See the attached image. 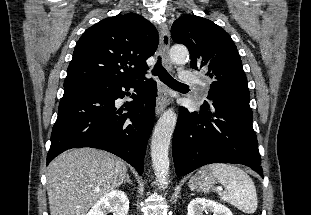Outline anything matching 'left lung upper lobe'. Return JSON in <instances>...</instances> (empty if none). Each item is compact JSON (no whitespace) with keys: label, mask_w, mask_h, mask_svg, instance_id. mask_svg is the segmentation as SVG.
Returning a JSON list of instances; mask_svg holds the SVG:
<instances>
[{"label":"left lung upper lobe","mask_w":311,"mask_h":215,"mask_svg":"<svg viewBox=\"0 0 311 215\" xmlns=\"http://www.w3.org/2000/svg\"><path fill=\"white\" fill-rule=\"evenodd\" d=\"M172 39L190 52V66L212 79L208 98L250 101L246 75L230 35L211 20L184 15L174 21Z\"/></svg>","instance_id":"obj_1"}]
</instances>
